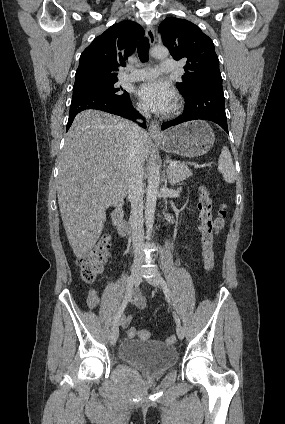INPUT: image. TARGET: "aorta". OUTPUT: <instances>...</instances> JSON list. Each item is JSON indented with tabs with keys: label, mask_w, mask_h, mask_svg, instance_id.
Returning a JSON list of instances; mask_svg holds the SVG:
<instances>
[{
	"label": "aorta",
	"mask_w": 285,
	"mask_h": 424,
	"mask_svg": "<svg viewBox=\"0 0 285 424\" xmlns=\"http://www.w3.org/2000/svg\"><path fill=\"white\" fill-rule=\"evenodd\" d=\"M151 55L152 57L157 59H164L168 57L169 51L164 46H156L151 50ZM159 184H160L159 167L156 164H153L150 168V172L148 176V185L146 190L145 224H146L147 234H151L153 230Z\"/></svg>",
	"instance_id": "762f6f07"
}]
</instances>
